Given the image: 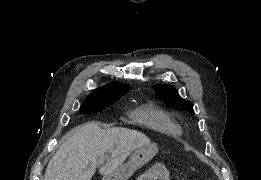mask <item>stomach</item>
<instances>
[{"mask_svg":"<svg viewBox=\"0 0 261 180\" xmlns=\"http://www.w3.org/2000/svg\"><path fill=\"white\" fill-rule=\"evenodd\" d=\"M158 153L156 144H146L137 148L126 164L120 165L116 170L103 176L102 180H128L134 172L148 163Z\"/></svg>","mask_w":261,"mask_h":180,"instance_id":"stomach-1","label":"stomach"}]
</instances>
